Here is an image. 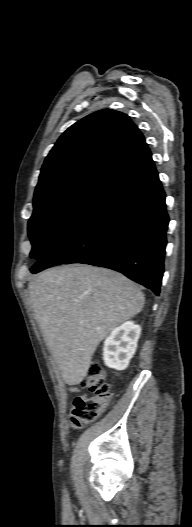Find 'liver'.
<instances>
[{
	"mask_svg": "<svg viewBox=\"0 0 192 527\" xmlns=\"http://www.w3.org/2000/svg\"><path fill=\"white\" fill-rule=\"evenodd\" d=\"M45 342L68 385L87 376L99 343L144 306V294L124 275L88 265L47 270L28 285Z\"/></svg>",
	"mask_w": 192,
	"mask_h": 527,
	"instance_id": "liver-1",
	"label": "liver"
}]
</instances>
